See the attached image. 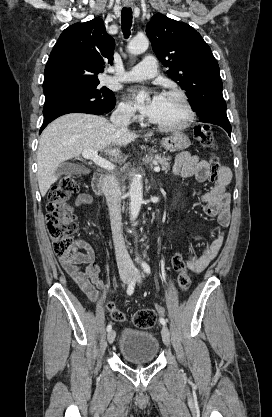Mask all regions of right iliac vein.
Returning a JSON list of instances; mask_svg holds the SVG:
<instances>
[{"label": "right iliac vein", "mask_w": 272, "mask_h": 417, "mask_svg": "<svg viewBox=\"0 0 272 417\" xmlns=\"http://www.w3.org/2000/svg\"><path fill=\"white\" fill-rule=\"evenodd\" d=\"M123 280H124L125 283H128L130 281V277L126 276V277H124ZM115 336H116V333H115L114 330H111V331L108 332L107 340H108L109 344H112L114 342Z\"/></svg>", "instance_id": "63e3f726"}]
</instances>
